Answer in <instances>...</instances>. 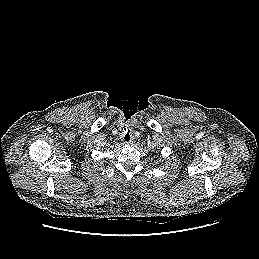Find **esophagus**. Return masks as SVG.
<instances>
[{
	"instance_id": "1",
	"label": "esophagus",
	"mask_w": 259,
	"mask_h": 259,
	"mask_svg": "<svg viewBox=\"0 0 259 259\" xmlns=\"http://www.w3.org/2000/svg\"><path fill=\"white\" fill-rule=\"evenodd\" d=\"M122 140H123L124 143L130 144L132 142L131 134L128 133V132L124 133L123 136H122Z\"/></svg>"
}]
</instances>
